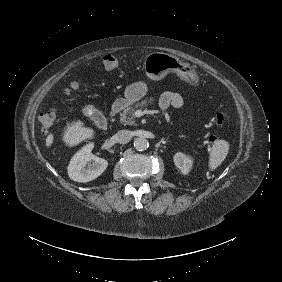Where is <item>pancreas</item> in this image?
<instances>
[{
    "label": "pancreas",
    "mask_w": 282,
    "mask_h": 282,
    "mask_svg": "<svg viewBox=\"0 0 282 282\" xmlns=\"http://www.w3.org/2000/svg\"><path fill=\"white\" fill-rule=\"evenodd\" d=\"M146 100L136 103L134 106H129L120 114V123L123 125H135V110L137 108L142 109Z\"/></svg>",
    "instance_id": "1"
}]
</instances>
